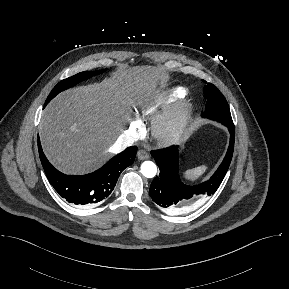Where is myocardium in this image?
I'll return each instance as SVG.
<instances>
[{
    "mask_svg": "<svg viewBox=\"0 0 289 289\" xmlns=\"http://www.w3.org/2000/svg\"><path fill=\"white\" fill-rule=\"evenodd\" d=\"M192 114V105L180 100L158 115L151 127L153 137L161 144L169 145L178 141L186 132Z\"/></svg>",
    "mask_w": 289,
    "mask_h": 289,
    "instance_id": "myocardium-1",
    "label": "myocardium"
}]
</instances>
